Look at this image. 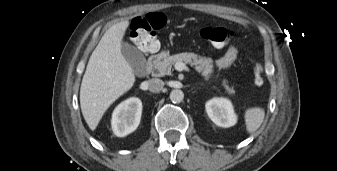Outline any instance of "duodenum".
<instances>
[{"label":"duodenum","mask_w":337,"mask_h":171,"mask_svg":"<svg viewBox=\"0 0 337 171\" xmlns=\"http://www.w3.org/2000/svg\"><path fill=\"white\" fill-rule=\"evenodd\" d=\"M158 59H159V56H158V55H151V56L149 57V59H148V64H147V66H146V68H145V70H144V73H145V74H148V73L151 71L153 65L155 64V62H156Z\"/></svg>","instance_id":"duodenum-1"}]
</instances>
